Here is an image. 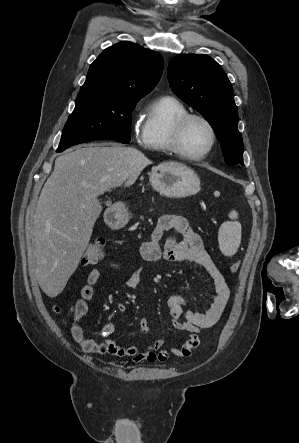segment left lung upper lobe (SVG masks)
Segmentation results:
<instances>
[{
	"mask_svg": "<svg viewBox=\"0 0 299 443\" xmlns=\"http://www.w3.org/2000/svg\"><path fill=\"white\" fill-rule=\"evenodd\" d=\"M174 94L200 112L214 129L225 161L243 165V141L232 85L221 66L204 54L178 55L169 63Z\"/></svg>",
	"mask_w": 299,
	"mask_h": 443,
	"instance_id": "obj_1",
	"label": "left lung upper lobe"
}]
</instances>
